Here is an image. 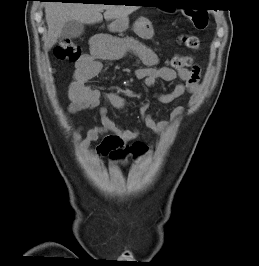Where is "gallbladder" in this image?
Segmentation results:
<instances>
[{"mask_svg":"<svg viewBox=\"0 0 259 266\" xmlns=\"http://www.w3.org/2000/svg\"><path fill=\"white\" fill-rule=\"evenodd\" d=\"M84 32V25L78 21L72 20L67 22L62 28L60 37L62 38H77Z\"/></svg>","mask_w":259,"mask_h":266,"instance_id":"gallbladder-1","label":"gallbladder"}]
</instances>
